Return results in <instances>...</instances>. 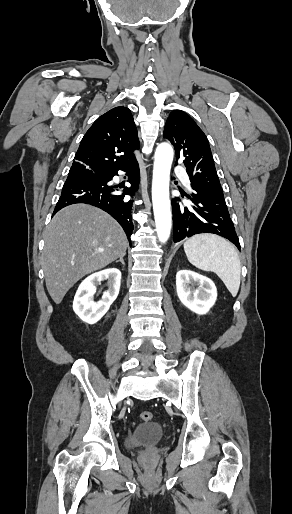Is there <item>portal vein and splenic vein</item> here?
I'll return each mask as SVG.
<instances>
[{"mask_svg": "<svg viewBox=\"0 0 292 514\" xmlns=\"http://www.w3.org/2000/svg\"><path fill=\"white\" fill-rule=\"evenodd\" d=\"M98 252H103V250H98Z\"/></svg>", "mask_w": 292, "mask_h": 514, "instance_id": "portal-vein-and-splenic-vein-1", "label": "portal vein and splenic vein"}]
</instances>
